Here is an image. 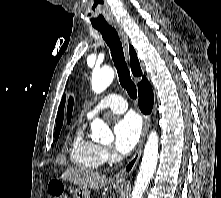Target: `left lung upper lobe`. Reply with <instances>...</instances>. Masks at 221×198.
<instances>
[{"instance_id": "1", "label": "left lung upper lobe", "mask_w": 221, "mask_h": 198, "mask_svg": "<svg viewBox=\"0 0 221 198\" xmlns=\"http://www.w3.org/2000/svg\"><path fill=\"white\" fill-rule=\"evenodd\" d=\"M72 109H73V99L70 98V100L68 102V108H67V121H68V123L71 120Z\"/></svg>"}]
</instances>
